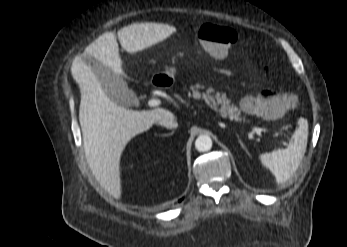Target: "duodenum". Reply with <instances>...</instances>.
I'll return each instance as SVG.
<instances>
[{
    "instance_id": "duodenum-1",
    "label": "duodenum",
    "mask_w": 347,
    "mask_h": 247,
    "mask_svg": "<svg viewBox=\"0 0 347 247\" xmlns=\"http://www.w3.org/2000/svg\"><path fill=\"white\" fill-rule=\"evenodd\" d=\"M152 85L155 87L166 86L165 79L162 76H155L152 80Z\"/></svg>"
}]
</instances>
